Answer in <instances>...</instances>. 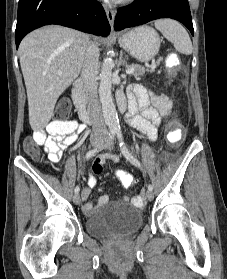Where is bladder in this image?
<instances>
[{"instance_id":"obj_1","label":"bladder","mask_w":227,"mask_h":279,"mask_svg":"<svg viewBox=\"0 0 227 279\" xmlns=\"http://www.w3.org/2000/svg\"><path fill=\"white\" fill-rule=\"evenodd\" d=\"M143 224V216L138 208L128 202L114 200L104 205V209L86 219V232L94 237L128 236Z\"/></svg>"}]
</instances>
